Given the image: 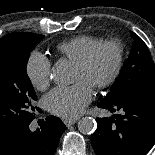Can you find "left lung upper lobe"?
Masks as SVG:
<instances>
[{
  "instance_id": "left-lung-upper-lobe-1",
  "label": "left lung upper lobe",
  "mask_w": 155,
  "mask_h": 155,
  "mask_svg": "<svg viewBox=\"0 0 155 155\" xmlns=\"http://www.w3.org/2000/svg\"><path fill=\"white\" fill-rule=\"evenodd\" d=\"M133 47L111 91L103 101H113L140 88L155 85V67L144 41L131 32Z\"/></svg>"
}]
</instances>
